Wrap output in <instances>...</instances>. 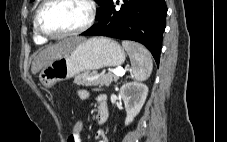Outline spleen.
Listing matches in <instances>:
<instances>
[{"label": "spleen", "instance_id": "spleen-1", "mask_svg": "<svg viewBox=\"0 0 227 142\" xmlns=\"http://www.w3.org/2000/svg\"><path fill=\"white\" fill-rule=\"evenodd\" d=\"M122 46L129 55L134 79L137 81L147 80L153 69L151 53L143 45L136 42L122 41Z\"/></svg>", "mask_w": 227, "mask_h": 142}]
</instances>
